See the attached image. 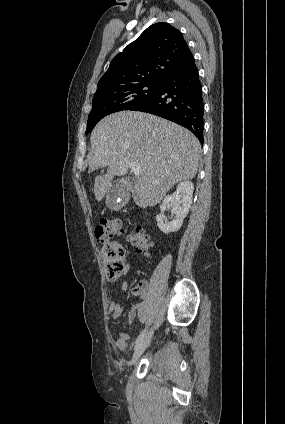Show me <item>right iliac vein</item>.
Listing matches in <instances>:
<instances>
[{"instance_id":"obj_1","label":"right iliac vein","mask_w":285,"mask_h":424,"mask_svg":"<svg viewBox=\"0 0 285 424\" xmlns=\"http://www.w3.org/2000/svg\"><path fill=\"white\" fill-rule=\"evenodd\" d=\"M153 332H149L145 338L136 346L132 359L130 361V365H133L143 354L145 349L149 346Z\"/></svg>"}]
</instances>
